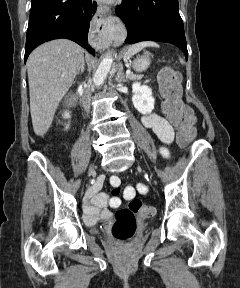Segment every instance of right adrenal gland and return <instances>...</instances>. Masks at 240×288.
Listing matches in <instances>:
<instances>
[{
    "instance_id": "obj_1",
    "label": "right adrenal gland",
    "mask_w": 240,
    "mask_h": 288,
    "mask_svg": "<svg viewBox=\"0 0 240 288\" xmlns=\"http://www.w3.org/2000/svg\"><path fill=\"white\" fill-rule=\"evenodd\" d=\"M85 69V63L83 62L81 67H80V71L77 72V75H79L80 73H83Z\"/></svg>"
}]
</instances>
